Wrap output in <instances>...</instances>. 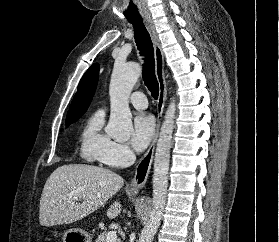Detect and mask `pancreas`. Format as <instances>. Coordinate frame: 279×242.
I'll use <instances>...</instances> for the list:
<instances>
[{
	"instance_id": "pancreas-1",
	"label": "pancreas",
	"mask_w": 279,
	"mask_h": 242,
	"mask_svg": "<svg viewBox=\"0 0 279 242\" xmlns=\"http://www.w3.org/2000/svg\"><path fill=\"white\" fill-rule=\"evenodd\" d=\"M95 242H107V232L104 231L103 233H101L97 239L95 240ZM116 242H120L119 240H116Z\"/></svg>"
}]
</instances>
